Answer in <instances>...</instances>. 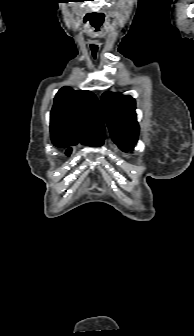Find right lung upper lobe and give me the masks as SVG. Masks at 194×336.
Segmentation results:
<instances>
[{"instance_id":"cb5924a9","label":"right lung upper lobe","mask_w":194,"mask_h":336,"mask_svg":"<svg viewBox=\"0 0 194 336\" xmlns=\"http://www.w3.org/2000/svg\"><path fill=\"white\" fill-rule=\"evenodd\" d=\"M51 138L85 143L104 140V122L98 100L90 91L63 87L54 99L50 114Z\"/></svg>"}]
</instances>
